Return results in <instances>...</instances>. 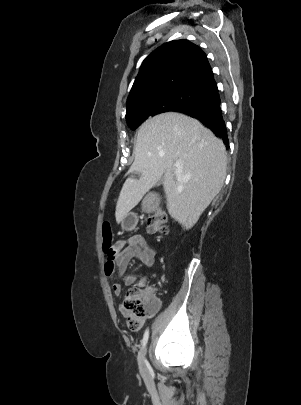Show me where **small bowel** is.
<instances>
[{
    "label": "small bowel",
    "instance_id": "obj_1",
    "mask_svg": "<svg viewBox=\"0 0 301 405\" xmlns=\"http://www.w3.org/2000/svg\"><path fill=\"white\" fill-rule=\"evenodd\" d=\"M116 253L111 261L106 260L105 273L112 277L116 272L122 283L114 281L112 290L115 295L122 293L123 285H132L136 281L134 275H127L126 270L133 259H137L144 265L152 267L158 260L157 251L139 234L132 235L127 239H120L115 244ZM160 302L158 304V309ZM157 309V310H158Z\"/></svg>",
    "mask_w": 301,
    "mask_h": 405
}]
</instances>
